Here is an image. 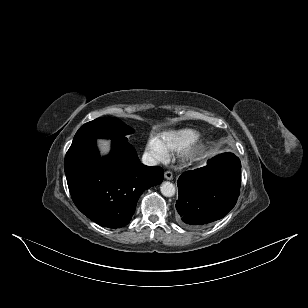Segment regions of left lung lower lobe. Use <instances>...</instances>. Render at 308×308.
Instances as JSON below:
<instances>
[{"mask_svg": "<svg viewBox=\"0 0 308 308\" xmlns=\"http://www.w3.org/2000/svg\"><path fill=\"white\" fill-rule=\"evenodd\" d=\"M240 181L241 163L232 153L219 154L206 166L184 172L177 182L180 224L198 228L226 216L237 202Z\"/></svg>", "mask_w": 308, "mask_h": 308, "instance_id": "obj_1", "label": "left lung lower lobe"}]
</instances>
